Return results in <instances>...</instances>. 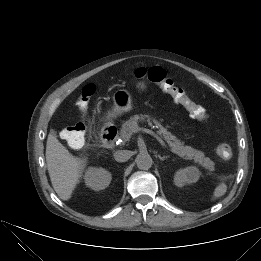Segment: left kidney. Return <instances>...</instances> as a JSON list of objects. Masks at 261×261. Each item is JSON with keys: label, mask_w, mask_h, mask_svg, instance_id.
<instances>
[{"label": "left kidney", "mask_w": 261, "mask_h": 261, "mask_svg": "<svg viewBox=\"0 0 261 261\" xmlns=\"http://www.w3.org/2000/svg\"><path fill=\"white\" fill-rule=\"evenodd\" d=\"M200 171L194 167H186L178 170L174 175V184L178 187H183L185 184H191L198 181Z\"/></svg>", "instance_id": "5707ae66"}]
</instances>
